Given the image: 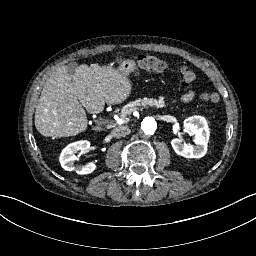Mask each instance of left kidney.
Wrapping results in <instances>:
<instances>
[{
	"label": "left kidney",
	"instance_id": "left-kidney-1",
	"mask_svg": "<svg viewBox=\"0 0 256 256\" xmlns=\"http://www.w3.org/2000/svg\"><path fill=\"white\" fill-rule=\"evenodd\" d=\"M182 127L185 131L195 134V146L182 143L183 138H174L171 141L174 151L187 159L202 158L207 152L210 136L206 120L200 116L190 117L184 121Z\"/></svg>",
	"mask_w": 256,
	"mask_h": 256
}]
</instances>
